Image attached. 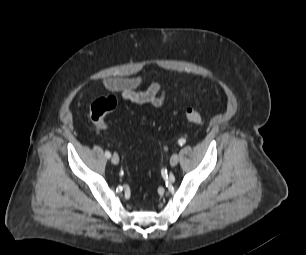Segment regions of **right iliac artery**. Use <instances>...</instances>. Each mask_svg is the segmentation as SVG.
I'll use <instances>...</instances> for the list:
<instances>
[{"label": "right iliac artery", "instance_id": "1", "mask_svg": "<svg viewBox=\"0 0 306 255\" xmlns=\"http://www.w3.org/2000/svg\"><path fill=\"white\" fill-rule=\"evenodd\" d=\"M105 156H106L107 158H110V157H111V153H110L109 151H106V152H105Z\"/></svg>", "mask_w": 306, "mask_h": 255}]
</instances>
